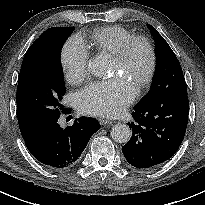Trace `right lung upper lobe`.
Listing matches in <instances>:
<instances>
[{
	"label": "right lung upper lobe",
	"instance_id": "right-lung-upper-lobe-1",
	"mask_svg": "<svg viewBox=\"0 0 205 205\" xmlns=\"http://www.w3.org/2000/svg\"><path fill=\"white\" fill-rule=\"evenodd\" d=\"M18 124L20 127V131L22 134V137L26 136L28 132L35 127V124H33L23 113L21 110L18 109Z\"/></svg>",
	"mask_w": 205,
	"mask_h": 205
}]
</instances>
